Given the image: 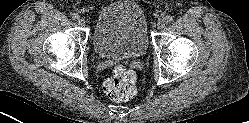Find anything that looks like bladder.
<instances>
[{
    "instance_id": "31cf9c89",
    "label": "bladder",
    "mask_w": 249,
    "mask_h": 123,
    "mask_svg": "<svg viewBox=\"0 0 249 123\" xmlns=\"http://www.w3.org/2000/svg\"><path fill=\"white\" fill-rule=\"evenodd\" d=\"M92 44L100 58H137L149 46L148 23L136 0H113L95 19Z\"/></svg>"
}]
</instances>
